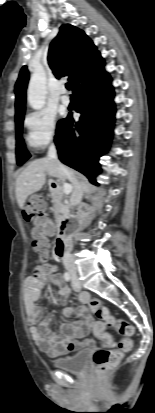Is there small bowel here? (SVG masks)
<instances>
[{"label": "small bowel", "instance_id": "small-bowel-1", "mask_svg": "<svg viewBox=\"0 0 155 413\" xmlns=\"http://www.w3.org/2000/svg\"><path fill=\"white\" fill-rule=\"evenodd\" d=\"M49 252L45 260L48 259ZM51 270H54L52 268ZM49 272L44 269L43 265L36 266L31 276L25 280V309L27 320L30 326V333L34 343L40 351L51 357L60 355L73 354L81 349L89 348L93 345L91 339L86 338L92 329L97 338L106 342L107 345L113 343L112 336L106 332V326L101 321H94L89 315L85 304L91 299L87 292H82L78 296L80 305L65 307L62 312V318L68 319L73 315L78 318L72 322L65 323L59 333H54L50 329L53 321L51 315L45 316L42 309L37 305L41 297L42 290L48 279ZM54 284L59 287L60 302L65 304L70 294V289L62 280L54 276Z\"/></svg>", "mask_w": 155, "mask_h": 413}]
</instances>
